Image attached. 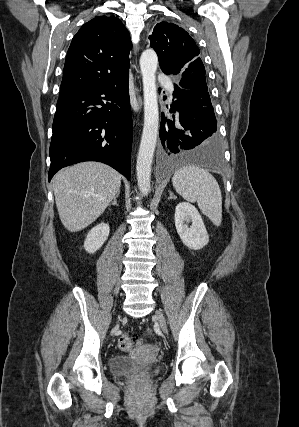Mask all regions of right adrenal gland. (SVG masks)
Returning a JSON list of instances; mask_svg holds the SVG:
<instances>
[{
	"mask_svg": "<svg viewBox=\"0 0 299 427\" xmlns=\"http://www.w3.org/2000/svg\"><path fill=\"white\" fill-rule=\"evenodd\" d=\"M119 193H120V192H118V193L114 196L113 201L111 202V204H112V205H115V206H117V205H118V204H117V198H118V196H119Z\"/></svg>",
	"mask_w": 299,
	"mask_h": 427,
	"instance_id": "2a0ac1e0",
	"label": "right adrenal gland"
}]
</instances>
